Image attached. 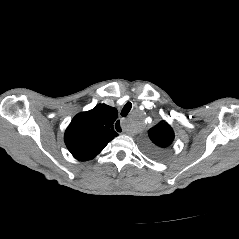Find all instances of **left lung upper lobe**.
Here are the masks:
<instances>
[{
  "mask_svg": "<svg viewBox=\"0 0 239 239\" xmlns=\"http://www.w3.org/2000/svg\"><path fill=\"white\" fill-rule=\"evenodd\" d=\"M149 138L159 149H165L170 146L174 139V132L170 125L161 121L159 124L149 130ZM148 154L158 157L159 151L153 148H147Z\"/></svg>",
  "mask_w": 239,
  "mask_h": 239,
  "instance_id": "obj_1",
  "label": "left lung upper lobe"
}]
</instances>
